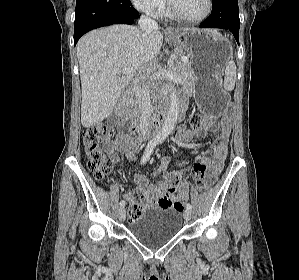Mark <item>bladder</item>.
<instances>
[{"label":"bladder","instance_id":"bladder-1","mask_svg":"<svg viewBox=\"0 0 299 280\" xmlns=\"http://www.w3.org/2000/svg\"><path fill=\"white\" fill-rule=\"evenodd\" d=\"M181 213L173 208H149L134 221L130 222V233L149 247H158L181 230Z\"/></svg>","mask_w":299,"mask_h":280}]
</instances>
